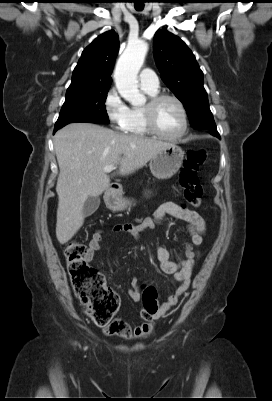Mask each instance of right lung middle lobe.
<instances>
[{"label":"right lung middle lobe","mask_w":272,"mask_h":401,"mask_svg":"<svg viewBox=\"0 0 272 401\" xmlns=\"http://www.w3.org/2000/svg\"><path fill=\"white\" fill-rule=\"evenodd\" d=\"M110 86L66 93L56 130L73 122L109 123L105 100Z\"/></svg>","instance_id":"right-lung-middle-lobe-1"}]
</instances>
